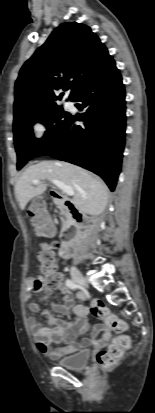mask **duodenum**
Instances as JSON below:
<instances>
[{
    "instance_id": "1",
    "label": "duodenum",
    "mask_w": 155,
    "mask_h": 413,
    "mask_svg": "<svg viewBox=\"0 0 155 413\" xmlns=\"http://www.w3.org/2000/svg\"><path fill=\"white\" fill-rule=\"evenodd\" d=\"M51 196L68 211L72 224L77 225L80 229H82L85 225V219L80 210L76 207L73 199L63 196L58 190H52ZM77 240L78 237H75L74 231L69 230L66 233L65 241L61 245L60 255L64 258L71 257L75 252V244Z\"/></svg>"
}]
</instances>
